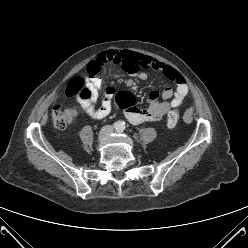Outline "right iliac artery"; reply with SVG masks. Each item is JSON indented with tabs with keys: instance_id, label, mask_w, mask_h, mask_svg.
Masks as SVG:
<instances>
[{
	"instance_id": "1",
	"label": "right iliac artery",
	"mask_w": 248,
	"mask_h": 248,
	"mask_svg": "<svg viewBox=\"0 0 248 248\" xmlns=\"http://www.w3.org/2000/svg\"><path fill=\"white\" fill-rule=\"evenodd\" d=\"M121 122L114 123V128L119 129L121 127Z\"/></svg>"
}]
</instances>
